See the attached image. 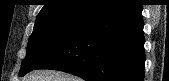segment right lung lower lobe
Listing matches in <instances>:
<instances>
[{
  "instance_id": "98d812e1",
  "label": "right lung lower lobe",
  "mask_w": 169,
  "mask_h": 81,
  "mask_svg": "<svg viewBox=\"0 0 169 81\" xmlns=\"http://www.w3.org/2000/svg\"><path fill=\"white\" fill-rule=\"evenodd\" d=\"M142 5L124 0L87 20L36 69H54L87 81H143Z\"/></svg>"
}]
</instances>
